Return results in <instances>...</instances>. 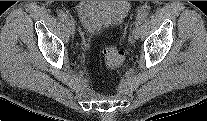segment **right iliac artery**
<instances>
[{
  "instance_id": "right-iliac-artery-1",
  "label": "right iliac artery",
  "mask_w": 207,
  "mask_h": 121,
  "mask_svg": "<svg viewBox=\"0 0 207 121\" xmlns=\"http://www.w3.org/2000/svg\"><path fill=\"white\" fill-rule=\"evenodd\" d=\"M58 18H59V20L64 21V20L67 19V15L64 12L61 11L58 14Z\"/></svg>"
}]
</instances>
